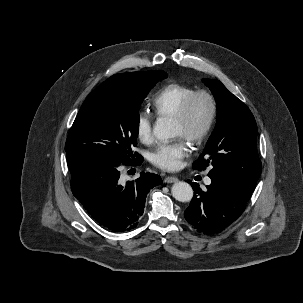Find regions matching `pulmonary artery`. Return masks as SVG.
Returning <instances> with one entry per match:
<instances>
[{
  "label": "pulmonary artery",
  "mask_w": 303,
  "mask_h": 303,
  "mask_svg": "<svg viewBox=\"0 0 303 303\" xmlns=\"http://www.w3.org/2000/svg\"><path fill=\"white\" fill-rule=\"evenodd\" d=\"M205 184H207V185L211 184V179L209 177H207L205 179Z\"/></svg>",
  "instance_id": "pulmonary-artery-1"
}]
</instances>
